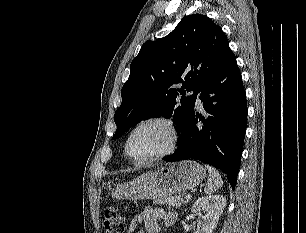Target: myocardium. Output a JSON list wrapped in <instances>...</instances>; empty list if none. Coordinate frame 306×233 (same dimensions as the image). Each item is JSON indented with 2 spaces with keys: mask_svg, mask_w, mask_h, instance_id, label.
<instances>
[{
  "mask_svg": "<svg viewBox=\"0 0 306 233\" xmlns=\"http://www.w3.org/2000/svg\"><path fill=\"white\" fill-rule=\"evenodd\" d=\"M150 123H161L164 126H166V128L168 129L169 134H170L169 145L165 150H163L159 153H156V154H153V155H150V156H146V157H143V158H134L130 155L129 150H128L130 139L133 136V134L139 128H141V127H143L147 124H150ZM179 138H180V133H179L178 127H177L175 121L172 118H170L168 116H164V115L151 116V117H148V118L140 121L138 124H136L131 129V131L127 135V138H126L125 143H124V154L132 162H138V163L163 158L165 156H168V155L172 154L177 149V146H178V143H179Z\"/></svg>",
  "mask_w": 306,
  "mask_h": 233,
  "instance_id": "obj_1",
  "label": "myocardium"
}]
</instances>
